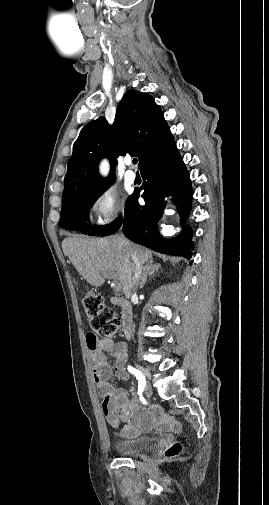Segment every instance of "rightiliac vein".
I'll return each instance as SVG.
<instances>
[{
    "mask_svg": "<svg viewBox=\"0 0 269 505\" xmlns=\"http://www.w3.org/2000/svg\"><path fill=\"white\" fill-rule=\"evenodd\" d=\"M144 385H145V393H146V395L147 396H151L152 393H153V390H152V387H151L152 382L150 380H146L144 382Z\"/></svg>",
    "mask_w": 269,
    "mask_h": 505,
    "instance_id": "right-iliac-vein-1",
    "label": "right iliac vein"
}]
</instances>
